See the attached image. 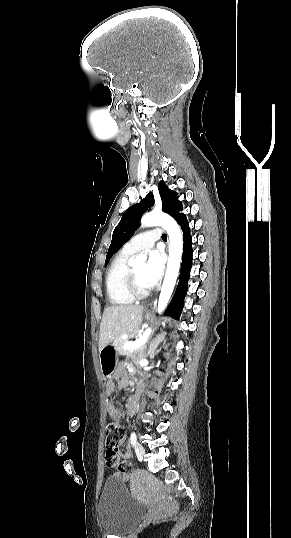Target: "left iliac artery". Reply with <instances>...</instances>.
Returning a JSON list of instances; mask_svg holds the SVG:
<instances>
[{"label":"left iliac artery","instance_id":"left-iliac-artery-1","mask_svg":"<svg viewBox=\"0 0 291 538\" xmlns=\"http://www.w3.org/2000/svg\"><path fill=\"white\" fill-rule=\"evenodd\" d=\"M136 441H137L136 434L134 432H132L131 436H130V442L134 446L136 444Z\"/></svg>","mask_w":291,"mask_h":538}]
</instances>
